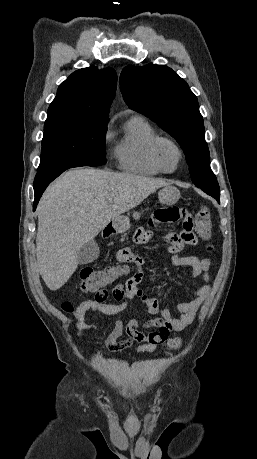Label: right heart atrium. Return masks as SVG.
<instances>
[{"mask_svg":"<svg viewBox=\"0 0 257 459\" xmlns=\"http://www.w3.org/2000/svg\"><path fill=\"white\" fill-rule=\"evenodd\" d=\"M110 136H111V132H110V130H107V132H106V138H110Z\"/></svg>","mask_w":257,"mask_h":459,"instance_id":"1","label":"right heart atrium"}]
</instances>
